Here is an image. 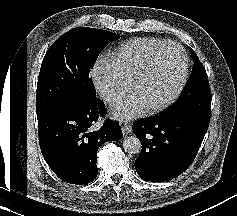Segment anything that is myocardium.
Returning a JSON list of instances; mask_svg holds the SVG:
<instances>
[{"instance_id": "obj_1", "label": "myocardium", "mask_w": 237, "mask_h": 216, "mask_svg": "<svg viewBox=\"0 0 237 216\" xmlns=\"http://www.w3.org/2000/svg\"><path fill=\"white\" fill-rule=\"evenodd\" d=\"M187 60H188V58H187L185 51L184 52L178 51L177 53H170V54L166 53L164 55L158 56V57L152 59V61L147 62L146 65H139L138 66V73L139 74H137L135 76V78L132 82V85L130 87V95H129L130 100H137V102L143 107L155 108V107H159V106L163 105L165 102L173 99L175 97V95L184 86ZM175 62H180L179 72L177 74V80H176L175 84L173 85L172 89L169 91V93L164 98H162L156 102L138 100L136 98L137 84H138L140 77L143 74L152 73L155 70H157L159 67H162L163 65H165L167 63H175Z\"/></svg>"}]
</instances>
